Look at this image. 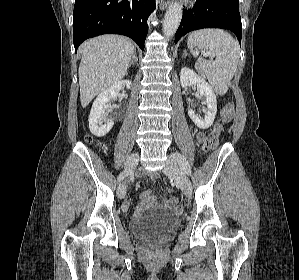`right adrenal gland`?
Returning <instances> with one entry per match:
<instances>
[{"label":"right adrenal gland","mask_w":299,"mask_h":280,"mask_svg":"<svg viewBox=\"0 0 299 280\" xmlns=\"http://www.w3.org/2000/svg\"><path fill=\"white\" fill-rule=\"evenodd\" d=\"M137 61H138V58H137V55H136V51H134L133 56H132V58H131V60H130V63H129V67H130L132 64L137 63Z\"/></svg>","instance_id":"right-adrenal-gland-1"}]
</instances>
